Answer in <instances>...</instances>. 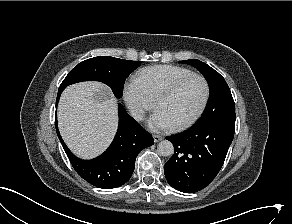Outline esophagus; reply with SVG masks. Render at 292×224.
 Here are the masks:
<instances>
[{"mask_svg": "<svg viewBox=\"0 0 292 224\" xmlns=\"http://www.w3.org/2000/svg\"><path fill=\"white\" fill-rule=\"evenodd\" d=\"M153 139H154V142H159L163 139V137L161 135H157V134H154L153 135Z\"/></svg>", "mask_w": 292, "mask_h": 224, "instance_id": "obj_1", "label": "esophagus"}]
</instances>
